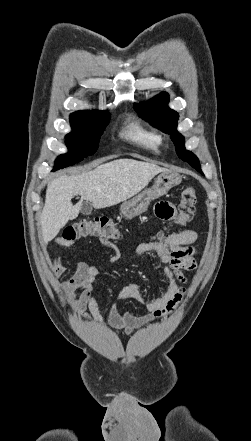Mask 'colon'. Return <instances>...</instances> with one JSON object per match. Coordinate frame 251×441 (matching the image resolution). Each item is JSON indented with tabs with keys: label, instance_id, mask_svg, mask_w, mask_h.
<instances>
[{
	"label": "colon",
	"instance_id": "colon-1",
	"mask_svg": "<svg viewBox=\"0 0 251 441\" xmlns=\"http://www.w3.org/2000/svg\"><path fill=\"white\" fill-rule=\"evenodd\" d=\"M196 190L186 187L182 190L174 223L184 225L191 221L195 212ZM120 232L115 224L106 217L82 219L68 226L63 234V240L74 241L87 237H97L103 241H116L120 239ZM165 240L164 233L158 234L156 242Z\"/></svg>",
	"mask_w": 251,
	"mask_h": 441
}]
</instances>
